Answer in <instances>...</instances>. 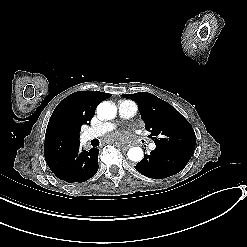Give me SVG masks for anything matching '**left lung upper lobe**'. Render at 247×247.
Returning a JSON list of instances; mask_svg holds the SVG:
<instances>
[{
    "label": "left lung upper lobe",
    "mask_w": 247,
    "mask_h": 247,
    "mask_svg": "<svg viewBox=\"0 0 247 247\" xmlns=\"http://www.w3.org/2000/svg\"><path fill=\"white\" fill-rule=\"evenodd\" d=\"M122 96L137 102L145 128L157 147L193 155L196 144L194 130L173 106L148 92Z\"/></svg>",
    "instance_id": "1"
}]
</instances>
